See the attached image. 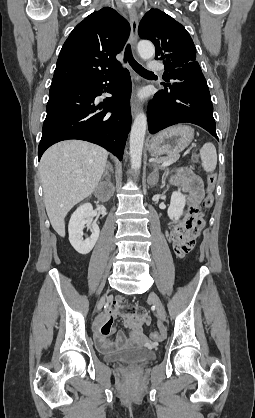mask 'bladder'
I'll list each match as a JSON object with an SVG mask.
<instances>
[{
  "label": "bladder",
  "instance_id": "obj_1",
  "mask_svg": "<svg viewBox=\"0 0 255 418\" xmlns=\"http://www.w3.org/2000/svg\"><path fill=\"white\" fill-rule=\"evenodd\" d=\"M156 358V353L144 347H131L125 350L109 353L105 356L108 362L145 363Z\"/></svg>",
  "mask_w": 255,
  "mask_h": 418
}]
</instances>
